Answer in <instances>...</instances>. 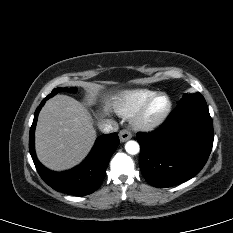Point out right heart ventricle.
I'll list each match as a JSON object with an SVG mask.
<instances>
[{
	"instance_id": "right-heart-ventricle-1",
	"label": "right heart ventricle",
	"mask_w": 233,
	"mask_h": 233,
	"mask_svg": "<svg viewBox=\"0 0 233 233\" xmlns=\"http://www.w3.org/2000/svg\"><path fill=\"white\" fill-rule=\"evenodd\" d=\"M155 93L154 90L144 88L124 91L115 99L114 110L123 117H131Z\"/></svg>"
}]
</instances>
